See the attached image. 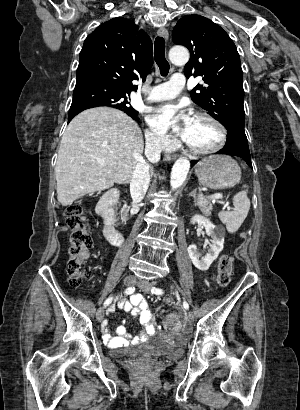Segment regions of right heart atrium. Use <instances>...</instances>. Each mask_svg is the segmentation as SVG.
<instances>
[{"mask_svg": "<svg viewBox=\"0 0 300 410\" xmlns=\"http://www.w3.org/2000/svg\"><path fill=\"white\" fill-rule=\"evenodd\" d=\"M146 147L150 152H167L176 146V143L164 132L148 128L145 132Z\"/></svg>", "mask_w": 300, "mask_h": 410, "instance_id": "obj_1", "label": "right heart atrium"}]
</instances>
